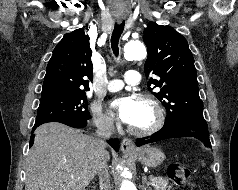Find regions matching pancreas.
<instances>
[{"label":"pancreas","instance_id":"pancreas-1","mask_svg":"<svg viewBox=\"0 0 238 190\" xmlns=\"http://www.w3.org/2000/svg\"><path fill=\"white\" fill-rule=\"evenodd\" d=\"M151 185L154 190H171L168 180L163 177H155V179L151 181Z\"/></svg>","mask_w":238,"mask_h":190}]
</instances>
